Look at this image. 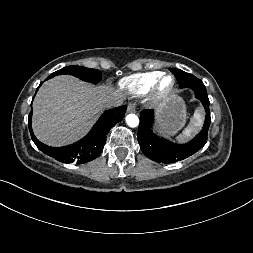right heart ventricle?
<instances>
[{
  "mask_svg": "<svg viewBox=\"0 0 253 253\" xmlns=\"http://www.w3.org/2000/svg\"><path fill=\"white\" fill-rule=\"evenodd\" d=\"M161 74L162 72L160 71L133 74L123 78L119 84L127 93L138 97L148 93Z\"/></svg>",
  "mask_w": 253,
  "mask_h": 253,
  "instance_id": "obj_1",
  "label": "right heart ventricle"
}]
</instances>
